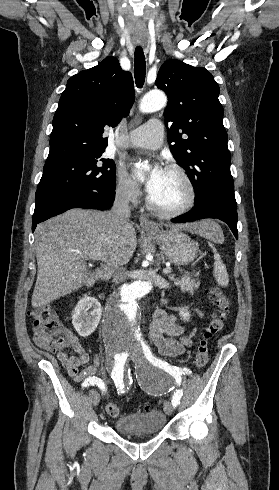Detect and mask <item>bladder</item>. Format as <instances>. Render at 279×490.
I'll list each match as a JSON object with an SVG mask.
<instances>
[{"instance_id":"31cf9c89","label":"bladder","mask_w":279,"mask_h":490,"mask_svg":"<svg viewBox=\"0 0 279 490\" xmlns=\"http://www.w3.org/2000/svg\"><path fill=\"white\" fill-rule=\"evenodd\" d=\"M167 414L160 410L131 414L113 422L112 427L118 435H155L163 431Z\"/></svg>"}]
</instances>
